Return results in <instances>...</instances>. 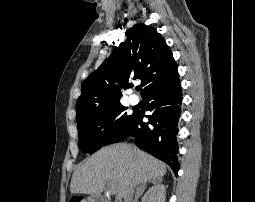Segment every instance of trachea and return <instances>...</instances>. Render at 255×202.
<instances>
[{
  "instance_id": "obj_1",
  "label": "trachea",
  "mask_w": 255,
  "mask_h": 202,
  "mask_svg": "<svg viewBox=\"0 0 255 202\" xmlns=\"http://www.w3.org/2000/svg\"><path fill=\"white\" fill-rule=\"evenodd\" d=\"M136 90H137V91H140V90H141V87H140V86L136 87Z\"/></svg>"
}]
</instances>
